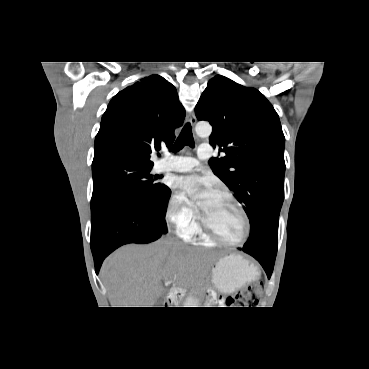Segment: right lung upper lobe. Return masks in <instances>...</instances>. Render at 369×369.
Returning a JSON list of instances; mask_svg holds the SVG:
<instances>
[{"label":"right lung upper lobe","instance_id":"cb5924a9","mask_svg":"<svg viewBox=\"0 0 369 369\" xmlns=\"http://www.w3.org/2000/svg\"><path fill=\"white\" fill-rule=\"evenodd\" d=\"M185 118L175 87L151 75L120 91L110 101L95 138L92 165L132 162L153 166L150 154L170 147Z\"/></svg>","mask_w":369,"mask_h":369}]
</instances>
